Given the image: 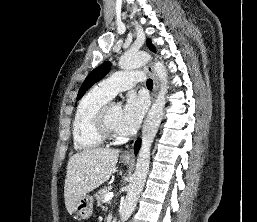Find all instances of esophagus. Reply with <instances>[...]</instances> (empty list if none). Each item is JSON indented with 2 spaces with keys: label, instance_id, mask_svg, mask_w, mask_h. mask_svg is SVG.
<instances>
[{
  "label": "esophagus",
  "instance_id": "34e87169",
  "mask_svg": "<svg viewBox=\"0 0 257 222\" xmlns=\"http://www.w3.org/2000/svg\"><path fill=\"white\" fill-rule=\"evenodd\" d=\"M145 69L152 76V79H153L154 85H153L151 100H152V102H154L155 99H156L157 91H158V87H159L158 79H157V76L155 75V72H154L153 67H152L151 64H147ZM123 156L128 157V158L133 157L132 149L128 148L127 150H125L124 153H123Z\"/></svg>",
  "mask_w": 257,
  "mask_h": 222
}]
</instances>
